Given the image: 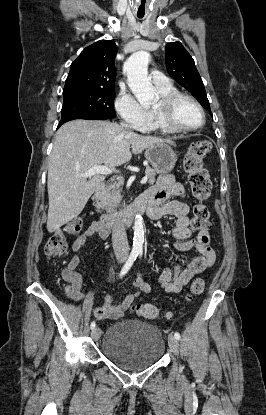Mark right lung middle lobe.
<instances>
[{
	"mask_svg": "<svg viewBox=\"0 0 266 415\" xmlns=\"http://www.w3.org/2000/svg\"><path fill=\"white\" fill-rule=\"evenodd\" d=\"M61 116L115 118L113 89H77L63 92Z\"/></svg>",
	"mask_w": 266,
	"mask_h": 415,
	"instance_id": "right-lung-middle-lobe-1",
	"label": "right lung middle lobe"
}]
</instances>
